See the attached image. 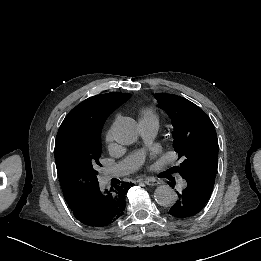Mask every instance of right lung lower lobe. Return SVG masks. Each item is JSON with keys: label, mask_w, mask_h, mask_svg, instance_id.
<instances>
[{"label": "right lung lower lobe", "mask_w": 261, "mask_h": 261, "mask_svg": "<svg viewBox=\"0 0 261 261\" xmlns=\"http://www.w3.org/2000/svg\"><path fill=\"white\" fill-rule=\"evenodd\" d=\"M133 183L124 182L111 190L101 191L99 184L78 199L68 203L75 218L92 227H103L116 221L126 207L125 195Z\"/></svg>", "instance_id": "obj_1"}]
</instances>
